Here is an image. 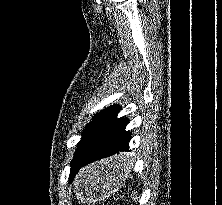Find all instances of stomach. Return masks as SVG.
<instances>
[{"label":"stomach","instance_id":"1","mask_svg":"<svg viewBox=\"0 0 222 205\" xmlns=\"http://www.w3.org/2000/svg\"><path fill=\"white\" fill-rule=\"evenodd\" d=\"M129 169L125 165L101 162L87 168L77 188V197L81 202L103 201L118 191L128 177Z\"/></svg>","mask_w":222,"mask_h":205}]
</instances>
